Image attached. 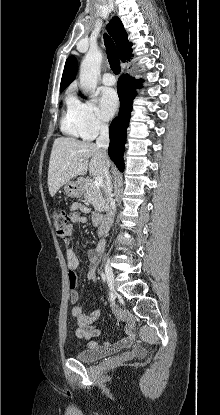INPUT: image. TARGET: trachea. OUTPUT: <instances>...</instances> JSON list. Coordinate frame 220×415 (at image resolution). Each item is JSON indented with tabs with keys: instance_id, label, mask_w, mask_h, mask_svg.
Masks as SVG:
<instances>
[{
	"instance_id": "1",
	"label": "trachea",
	"mask_w": 220,
	"mask_h": 415,
	"mask_svg": "<svg viewBox=\"0 0 220 415\" xmlns=\"http://www.w3.org/2000/svg\"><path fill=\"white\" fill-rule=\"evenodd\" d=\"M105 46L107 50V57L112 71L118 75L121 71L120 61L117 55L116 47L111 38L104 36Z\"/></svg>"
}]
</instances>
